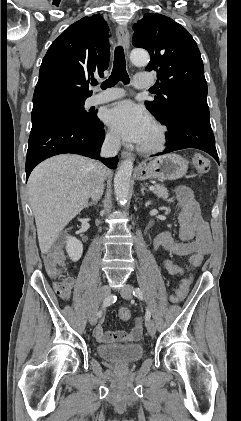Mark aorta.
Here are the masks:
<instances>
[{"mask_svg": "<svg viewBox=\"0 0 241 421\" xmlns=\"http://www.w3.org/2000/svg\"><path fill=\"white\" fill-rule=\"evenodd\" d=\"M130 59L135 65H146L149 62V54L144 49H134L130 54ZM133 171V161L124 160L114 178V192L117 202L124 206L129 197L130 180Z\"/></svg>", "mask_w": 241, "mask_h": 421, "instance_id": "aorta-1", "label": "aorta"}]
</instances>
